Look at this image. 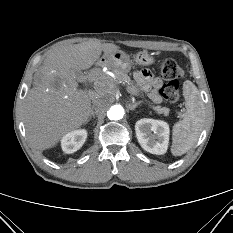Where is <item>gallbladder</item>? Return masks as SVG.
I'll list each match as a JSON object with an SVG mask.
<instances>
[{"label": "gallbladder", "instance_id": "obj_1", "mask_svg": "<svg viewBox=\"0 0 233 233\" xmlns=\"http://www.w3.org/2000/svg\"><path fill=\"white\" fill-rule=\"evenodd\" d=\"M75 73H76V76L79 77V75H80L79 72H75Z\"/></svg>", "mask_w": 233, "mask_h": 233}]
</instances>
